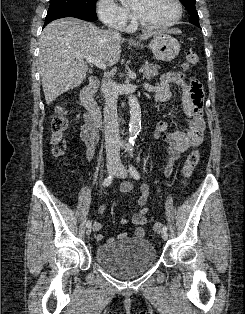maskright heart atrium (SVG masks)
Returning <instances> with one entry per match:
<instances>
[{
  "mask_svg": "<svg viewBox=\"0 0 245 314\" xmlns=\"http://www.w3.org/2000/svg\"><path fill=\"white\" fill-rule=\"evenodd\" d=\"M97 12L104 24L119 30L127 27L131 17L130 11L114 0H99Z\"/></svg>",
  "mask_w": 245,
  "mask_h": 314,
  "instance_id": "obj_1",
  "label": "right heart atrium"
}]
</instances>
